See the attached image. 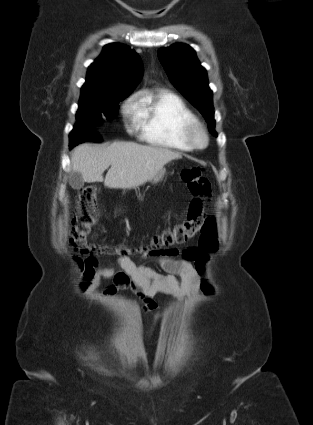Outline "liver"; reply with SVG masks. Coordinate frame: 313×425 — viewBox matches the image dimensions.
I'll return each mask as SVG.
<instances>
[{
  "instance_id": "1",
  "label": "liver",
  "mask_w": 313,
  "mask_h": 425,
  "mask_svg": "<svg viewBox=\"0 0 313 425\" xmlns=\"http://www.w3.org/2000/svg\"><path fill=\"white\" fill-rule=\"evenodd\" d=\"M180 158V153L162 147L114 142L109 146L79 145L71 162L73 172L80 173L87 183L104 181L108 188L130 189L144 184L165 164Z\"/></svg>"
}]
</instances>
